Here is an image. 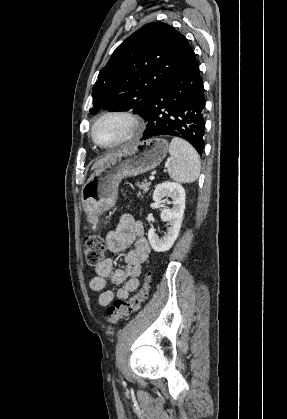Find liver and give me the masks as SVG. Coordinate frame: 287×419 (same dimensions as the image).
Masks as SVG:
<instances>
[{
	"label": "liver",
	"mask_w": 287,
	"mask_h": 419,
	"mask_svg": "<svg viewBox=\"0 0 287 419\" xmlns=\"http://www.w3.org/2000/svg\"><path fill=\"white\" fill-rule=\"evenodd\" d=\"M116 153H112L109 154L101 159H99L98 161H96L94 163V165L92 166V169H97L98 167H100L102 164H104L106 161H108L110 158H112Z\"/></svg>",
	"instance_id": "1"
}]
</instances>
